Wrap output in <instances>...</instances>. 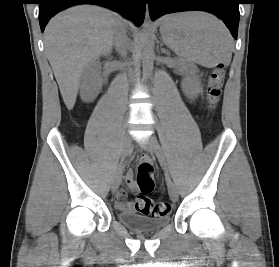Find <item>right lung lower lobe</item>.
Returning a JSON list of instances; mask_svg holds the SVG:
<instances>
[{
  "label": "right lung lower lobe",
  "instance_id": "1",
  "mask_svg": "<svg viewBox=\"0 0 279 267\" xmlns=\"http://www.w3.org/2000/svg\"><path fill=\"white\" fill-rule=\"evenodd\" d=\"M76 4H97L119 12L137 26L144 20L145 0H39V22L44 31L49 19L61 10Z\"/></svg>",
  "mask_w": 279,
  "mask_h": 267
}]
</instances>
